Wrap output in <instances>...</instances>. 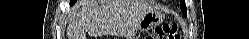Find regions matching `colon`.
I'll return each mask as SVG.
<instances>
[{
	"label": "colon",
	"instance_id": "1",
	"mask_svg": "<svg viewBox=\"0 0 249 39\" xmlns=\"http://www.w3.org/2000/svg\"><path fill=\"white\" fill-rule=\"evenodd\" d=\"M179 27L176 23H166L154 29L147 39H179Z\"/></svg>",
	"mask_w": 249,
	"mask_h": 39
}]
</instances>
